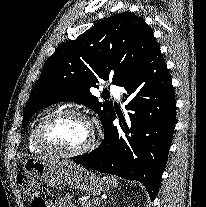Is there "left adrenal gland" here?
Instances as JSON below:
<instances>
[{
  "label": "left adrenal gland",
  "mask_w": 206,
  "mask_h": 207,
  "mask_svg": "<svg viewBox=\"0 0 206 207\" xmlns=\"http://www.w3.org/2000/svg\"><path fill=\"white\" fill-rule=\"evenodd\" d=\"M112 200V199H111ZM106 204H107V202H105V204L102 206V207H105L106 206Z\"/></svg>",
  "instance_id": "left-adrenal-gland-1"
}]
</instances>
